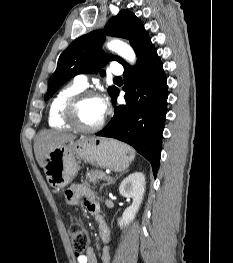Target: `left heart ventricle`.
I'll return each mask as SVG.
<instances>
[{
  "label": "left heart ventricle",
  "mask_w": 233,
  "mask_h": 263,
  "mask_svg": "<svg viewBox=\"0 0 233 263\" xmlns=\"http://www.w3.org/2000/svg\"><path fill=\"white\" fill-rule=\"evenodd\" d=\"M78 116L83 126L92 127L98 124L102 118L100 99L85 100L78 110Z\"/></svg>",
  "instance_id": "obj_1"
}]
</instances>
